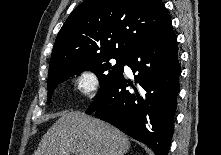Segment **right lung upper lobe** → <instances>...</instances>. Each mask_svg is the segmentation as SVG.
<instances>
[{
	"instance_id": "right-lung-upper-lobe-1",
	"label": "right lung upper lobe",
	"mask_w": 221,
	"mask_h": 155,
	"mask_svg": "<svg viewBox=\"0 0 221 155\" xmlns=\"http://www.w3.org/2000/svg\"><path fill=\"white\" fill-rule=\"evenodd\" d=\"M170 24L160 0H85L57 35L49 73L81 61L127 57L142 38Z\"/></svg>"
}]
</instances>
